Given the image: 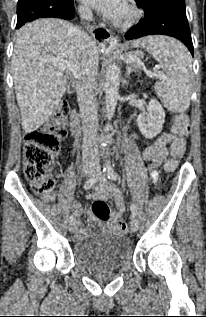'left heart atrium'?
Listing matches in <instances>:
<instances>
[{
    "instance_id": "1",
    "label": "left heart atrium",
    "mask_w": 206,
    "mask_h": 317,
    "mask_svg": "<svg viewBox=\"0 0 206 317\" xmlns=\"http://www.w3.org/2000/svg\"><path fill=\"white\" fill-rule=\"evenodd\" d=\"M86 4L92 6L102 12L108 18H115L125 5V0H82Z\"/></svg>"
}]
</instances>
